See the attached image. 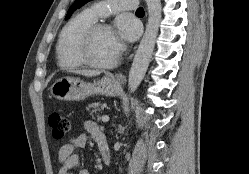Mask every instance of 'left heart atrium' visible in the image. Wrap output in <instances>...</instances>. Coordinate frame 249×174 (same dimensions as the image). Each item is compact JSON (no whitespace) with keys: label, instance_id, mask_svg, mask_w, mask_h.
Instances as JSON below:
<instances>
[{"label":"left heart atrium","instance_id":"obj_1","mask_svg":"<svg viewBox=\"0 0 249 174\" xmlns=\"http://www.w3.org/2000/svg\"><path fill=\"white\" fill-rule=\"evenodd\" d=\"M138 28L137 25L130 20H123L118 25V30L116 32V36L118 39V49L120 48V42L122 40H133L138 36Z\"/></svg>","mask_w":249,"mask_h":174}]
</instances>
